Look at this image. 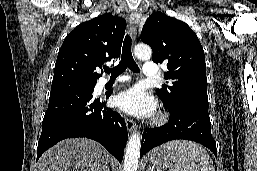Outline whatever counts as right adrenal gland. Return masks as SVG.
Here are the masks:
<instances>
[{
	"instance_id": "obj_1",
	"label": "right adrenal gland",
	"mask_w": 257,
	"mask_h": 171,
	"mask_svg": "<svg viewBox=\"0 0 257 171\" xmlns=\"http://www.w3.org/2000/svg\"><path fill=\"white\" fill-rule=\"evenodd\" d=\"M106 171H110V170H109V168H107V170H106Z\"/></svg>"
}]
</instances>
